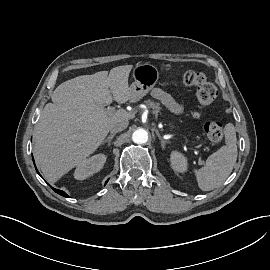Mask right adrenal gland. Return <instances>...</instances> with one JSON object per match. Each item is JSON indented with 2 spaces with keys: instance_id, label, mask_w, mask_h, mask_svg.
<instances>
[{
  "instance_id": "2a0ac1e0",
  "label": "right adrenal gland",
  "mask_w": 270,
  "mask_h": 270,
  "mask_svg": "<svg viewBox=\"0 0 270 270\" xmlns=\"http://www.w3.org/2000/svg\"><path fill=\"white\" fill-rule=\"evenodd\" d=\"M115 133H111L103 142L102 145L107 143L108 147L111 145V140L114 138Z\"/></svg>"
}]
</instances>
